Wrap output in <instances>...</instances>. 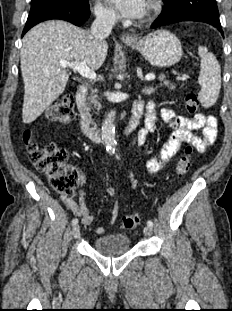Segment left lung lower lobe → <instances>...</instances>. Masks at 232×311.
I'll return each instance as SVG.
<instances>
[{"label":"left lung lower lobe","instance_id":"left-lung-lower-lobe-1","mask_svg":"<svg viewBox=\"0 0 232 311\" xmlns=\"http://www.w3.org/2000/svg\"><path fill=\"white\" fill-rule=\"evenodd\" d=\"M164 8L152 28L181 21H198L216 27L223 35L215 0H162Z\"/></svg>","mask_w":232,"mask_h":311}]
</instances>
